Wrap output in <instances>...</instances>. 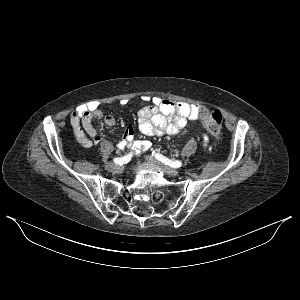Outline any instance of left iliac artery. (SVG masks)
<instances>
[{
	"label": "left iliac artery",
	"mask_w": 300,
	"mask_h": 300,
	"mask_svg": "<svg viewBox=\"0 0 300 300\" xmlns=\"http://www.w3.org/2000/svg\"><path fill=\"white\" fill-rule=\"evenodd\" d=\"M152 155H154L156 159H158L159 161H161L165 165H168L172 168H179L182 165L181 161L170 160V159H168L167 157H165L161 154L155 153V151L152 152Z\"/></svg>",
	"instance_id": "44dca946"
}]
</instances>
